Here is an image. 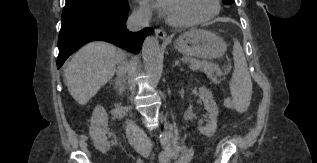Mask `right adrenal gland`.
<instances>
[{
    "mask_svg": "<svg viewBox=\"0 0 317 163\" xmlns=\"http://www.w3.org/2000/svg\"><path fill=\"white\" fill-rule=\"evenodd\" d=\"M110 82L114 85L115 90L120 93L121 89V80L120 79H111Z\"/></svg>",
    "mask_w": 317,
    "mask_h": 163,
    "instance_id": "1",
    "label": "right adrenal gland"
}]
</instances>
